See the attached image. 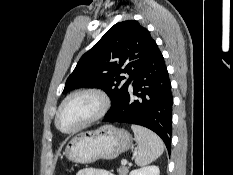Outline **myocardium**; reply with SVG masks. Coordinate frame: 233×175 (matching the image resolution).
Instances as JSON below:
<instances>
[{
  "mask_svg": "<svg viewBox=\"0 0 233 175\" xmlns=\"http://www.w3.org/2000/svg\"><path fill=\"white\" fill-rule=\"evenodd\" d=\"M80 95L94 96L99 102L98 109L92 116H90L89 118H87L86 120H84L83 122H81L80 124L75 126L74 128L64 130L59 125L60 113H61L62 109L64 108V106L72 98H74L76 96H80ZM110 106H111L110 97L107 95V93L104 90H102L100 88L88 87V88H81V89L74 90V91L70 92L66 97H64V99L59 104L57 111H56V114H55V119H54L55 126L59 131H61L63 133H67V134L74 133V132L86 127L87 125L104 117L106 115V113L108 112V110L110 109Z\"/></svg>",
  "mask_w": 233,
  "mask_h": 175,
  "instance_id": "obj_1",
  "label": "myocardium"
}]
</instances>
